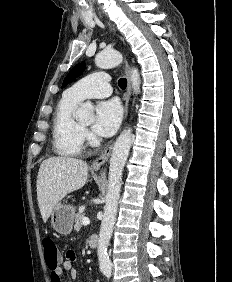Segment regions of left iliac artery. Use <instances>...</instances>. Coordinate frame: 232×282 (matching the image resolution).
<instances>
[{
    "mask_svg": "<svg viewBox=\"0 0 232 282\" xmlns=\"http://www.w3.org/2000/svg\"><path fill=\"white\" fill-rule=\"evenodd\" d=\"M105 275L107 276V278H110V276H111L110 273H105Z\"/></svg>",
    "mask_w": 232,
    "mask_h": 282,
    "instance_id": "44dca946",
    "label": "left iliac artery"
}]
</instances>
